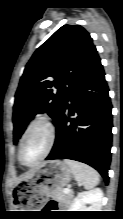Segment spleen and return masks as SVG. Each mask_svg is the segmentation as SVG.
Listing matches in <instances>:
<instances>
[{"label": "spleen", "mask_w": 123, "mask_h": 219, "mask_svg": "<svg viewBox=\"0 0 123 219\" xmlns=\"http://www.w3.org/2000/svg\"><path fill=\"white\" fill-rule=\"evenodd\" d=\"M64 162L71 168L75 179L86 189H91L99 184V174L90 166L65 159Z\"/></svg>", "instance_id": "1"}]
</instances>
